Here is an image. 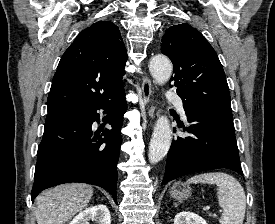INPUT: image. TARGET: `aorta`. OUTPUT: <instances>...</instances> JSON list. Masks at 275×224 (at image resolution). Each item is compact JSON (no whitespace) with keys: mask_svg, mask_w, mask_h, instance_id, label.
Here are the masks:
<instances>
[{"mask_svg":"<svg viewBox=\"0 0 275 224\" xmlns=\"http://www.w3.org/2000/svg\"><path fill=\"white\" fill-rule=\"evenodd\" d=\"M149 70L158 84H164L170 79L173 66L167 57L157 55L150 60ZM171 139L172 130L169 119L166 116H161L156 121L149 144L148 159L151 164L158 163L166 156Z\"/></svg>","mask_w":275,"mask_h":224,"instance_id":"obj_1","label":"aorta"}]
</instances>
